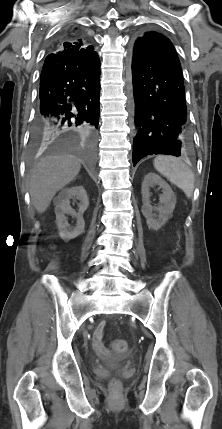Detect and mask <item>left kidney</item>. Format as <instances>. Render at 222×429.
I'll use <instances>...</instances> for the list:
<instances>
[{
    "label": "left kidney",
    "mask_w": 222,
    "mask_h": 429,
    "mask_svg": "<svg viewBox=\"0 0 222 429\" xmlns=\"http://www.w3.org/2000/svg\"><path fill=\"white\" fill-rule=\"evenodd\" d=\"M158 185L163 194L160 195L161 205L157 208H153L150 205L149 197L150 192L149 188ZM142 214L146 218V222L149 228L152 230H159L163 225L166 224L167 220L171 217L173 210L176 204V197L170 186L157 174L148 173L142 183ZM158 211V218L152 214V211Z\"/></svg>",
    "instance_id": "1"
}]
</instances>
